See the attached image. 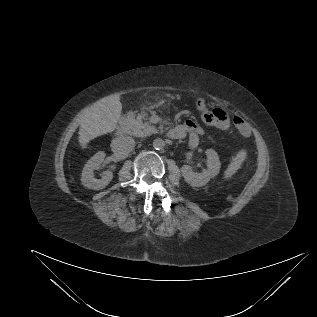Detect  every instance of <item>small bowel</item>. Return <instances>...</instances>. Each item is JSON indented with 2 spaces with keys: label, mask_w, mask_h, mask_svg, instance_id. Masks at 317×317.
Wrapping results in <instances>:
<instances>
[{
  "label": "small bowel",
  "mask_w": 317,
  "mask_h": 317,
  "mask_svg": "<svg viewBox=\"0 0 317 317\" xmlns=\"http://www.w3.org/2000/svg\"><path fill=\"white\" fill-rule=\"evenodd\" d=\"M230 123V119L226 114L224 122L219 125L220 128H226ZM233 123L238 131L243 136H249L250 127L247 122L239 117H233ZM203 134V129L196 122L192 120H186L183 125H179L170 130L169 136L173 139H181L188 136L190 146H195L198 143L199 137Z\"/></svg>",
  "instance_id": "1"
}]
</instances>
